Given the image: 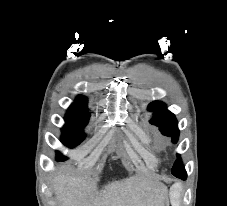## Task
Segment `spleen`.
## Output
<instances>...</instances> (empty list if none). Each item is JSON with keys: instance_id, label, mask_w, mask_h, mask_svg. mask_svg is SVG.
I'll use <instances>...</instances> for the list:
<instances>
[{"instance_id": "1", "label": "spleen", "mask_w": 227, "mask_h": 206, "mask_svg": "<svg viewBox=\"0 0 227 206\" xmlns=\"http://www.w3.org/2000/svg\"><path fill=\"white\" fill-rule=\"evenodd\" d=\"M170 195H171V198L173 200H175V203L177 204V200L180 197V193H179L178 189H176V188L172 189Z\"/></svg>"}]
</instances>
